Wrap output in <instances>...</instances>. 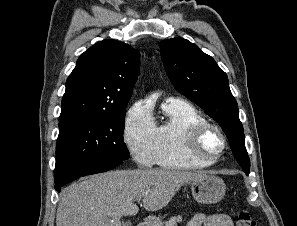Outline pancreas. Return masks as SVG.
<instances>
[{"instance_id":"1","label":"pancreas","mask_w":297,"mask_h":226,"mask_svg":"<svg viewBox=\"0 0 297 226\" xmlns=\"http://www.w3.org/2000/svg\"><path fill=\"white\" fill-rule=\"evenodd\" d=\"M182 222V216H173L164 223V226H177V223Z\"/></svg>"}]
</instances>
